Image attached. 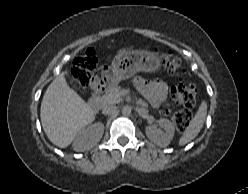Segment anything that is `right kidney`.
<instances>
[{
  "mask_svg": "<svg viewBox=\"0 0 248 194\" xmlns=\"http://www.w3.org/2000/svg\"><path fill=\"white\" fill-rule=\"evenodd\" d=\"M104 133V124L95 123L86 129L78 132L73 142V149L77 152H82L94 147L102 138Z\"/></svg>",
  "mask_w": 248,
  "mask_h": 194,
  "instance_id": "ca27d5eb",
  "label": "right kidney"
}]
</instances>
